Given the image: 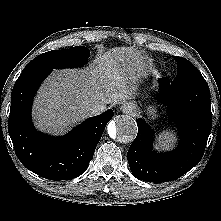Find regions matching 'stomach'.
<instances>
[{
  "instance_id": "1",
  "label": "stomach",
  "mask_w": 221,
  "mask_h": 221,
  "mask_svg": "<svg viewBox=\"0 0 221 221\" xmlns=\"http://www.w3.org/2000/svg\"><path fill=\"white\" fill-rule=\"evenodd\" d=\"M134 107H135V105H134ZM135 109H136V107H135ZM147 113H148L149 117L152 119H154L156 117V109L153 106H149L147 108Z\"/></svg>"
}]
</instances>
